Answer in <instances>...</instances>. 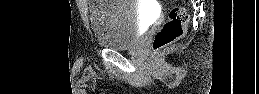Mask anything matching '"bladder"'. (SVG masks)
Instances as JSON below:
<instances>
[{"label": "bladder", "mask_w": 259, "mask_h": 94, "mask_svg": "<svg viewBox=\"0 0 259 94\" xmlns=\"http://www.w3.org/2000/svg\"><path fill=\"white\" fill-rule=\"evenodd\" d=\"M89 21L97 42L112 50L134 46L141 33V11L132 0H92Z\"/></svg>", "instance_id": "1"}]
</instances>
